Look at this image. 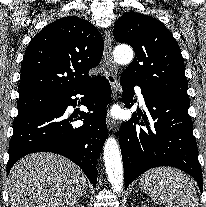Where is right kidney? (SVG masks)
<instances>
[{"label":"right kidney","mask_w":206,"mask_h":207,"mask_svg":"<svg viewBox=\"0 0 206 207\" xmlns=\"http://www.w3.org/2000/svg\"><path fill=\"white\" fill-rule=\"evenodd\" d=\"M75 207H84L83 205L79 204V205H76Z\"/></svg>","instance_id":"1"}]
</instances>
